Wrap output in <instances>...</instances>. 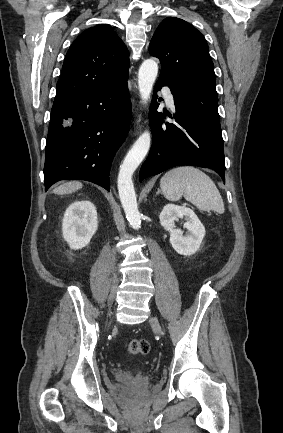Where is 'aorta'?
I'll list each match as a JSON object with an SVG mask.
<instances>
[{
  "instance_id": "aorta-1",
  "label": "aorta",
  "mask_w": 283,
  "mask_h": 433,
  "mask_svg": "<svg viewBox=\"0 0 283 433\" xmlns=\"http://www.w3.org/2000/svg\"><path fill=\"white\" fill-rule=\"evenodd\" d=\"M158 74V64L153 59L145 60L138 73V89L142 103L147 104ZM151 144V134L144 131L127 153L118 174V192L127 220L134 229L141 226V216L137 207L132 175L147 155Z\"/></svg>"
}]
</instances>
